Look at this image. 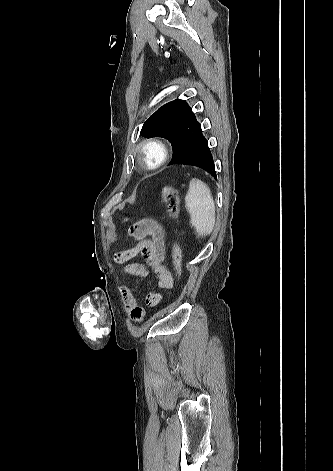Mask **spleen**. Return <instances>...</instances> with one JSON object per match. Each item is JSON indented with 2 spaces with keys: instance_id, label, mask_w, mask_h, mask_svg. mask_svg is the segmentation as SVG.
<instances>
[{
  "instance_id": "3e777b00",
  "label": "spleen",
  "mask_w": 333,
  "mask_h": 471,
  "mask_svg": "<svg viewBox=\"0 0 333 471\" xmlns=\"http://www.w3.org/2000/svg\"><path fill=\"white\" fill-rule=\"evenodd\" d=\"M185 204L197 233L200 236L211 234L215 226V204L209 187L199 179H192Z\"/></svg>"
}]
</instances>
